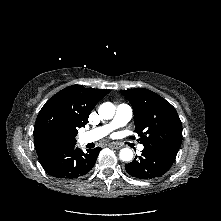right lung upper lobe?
<instances>
[{
    "label": "right lung upper lobe",
    "instance_id": "cb5924a9",
    "mask_svg": "<svg viewBox=\"0 0 221 221\" xmlns=\"http://www.w3.org/2000/svg\"><path fill=\"white\" fill-rule=\"evenodd\" d=\"M109 90L72 85L50 98L40 110L34 135L44 124H59L71 128L84 127L94 106Z\"/></svg>",
    "mask_w": 221,
    "mask_h": 221
}]
</instances>
